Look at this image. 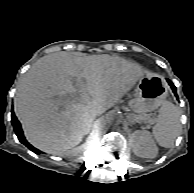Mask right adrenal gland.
<instances>
[{
	"instance_id": "right-adrenal-gland-1",
	"label": "right adrenal gland",
	"mask_w": 194,
	"mask_h": 193,
	"mask_svg": "<svg viewBox=\"0 0 194 193\" xmlns=\"http://www.w3.org/2000/svg\"><path fill=\"white\" fill-rule=\"evenodd\" d=\"M92 121H93V119H90V120H89V126H88V128H87V133L90 131V127H91Z\"/></svg>"
}]
</instances>
